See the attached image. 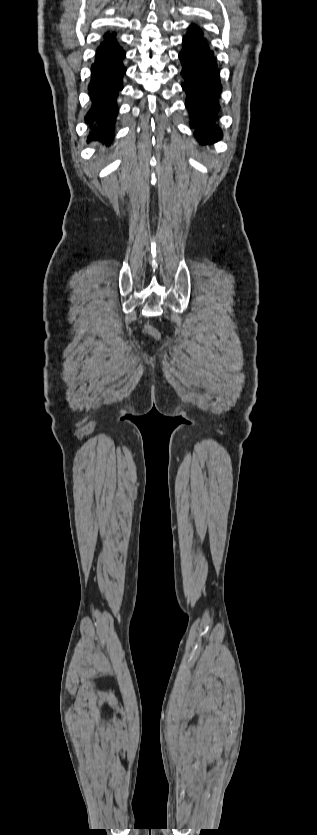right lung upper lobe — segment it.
<instances>
[{"label": "right lung upper lobe", "mask_w": 317, "mask_h": 835, "mask_svg": "<svg viewBox=\"0 0 317 835\" xmlns=\"http://www.w3.org/2000/svg\"><path fill=\"white\" fill-rule=\"evenodd\" d=\"M105 36H106V37H108L109 39H115V38H116V33H114V32H113V33H109V32H108Z\"/></svg>", "instance_id": "obj_1"}]
</instances>
